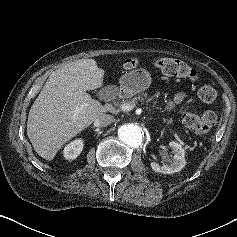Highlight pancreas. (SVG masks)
Wrapping results in <instances>:
<instances>
[{
	"mask_svg": "<svg viewBox=\"0 0 237 237\" xmlns=\"http://www.w3.org/2000/svg\"><path fill=\"white\" fill-rule=\"evenodd\" d=\"M143 99L141 98V96H136V97H133L129 100H123L122 102H120V106L121 105H124V104H130V105H135L137 104L139 101H142ZM163 122L166 123V124H171L173 122L172 119H165L163 118Z\"/></svg>",
	"mask_w": 237,
	"mask_h": 237,
	"instance_id": "cf45deb5",
	"label": "pancreas"
}]
</instances>
